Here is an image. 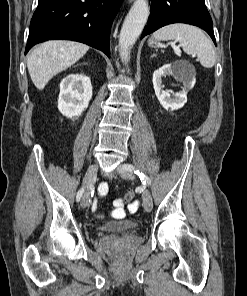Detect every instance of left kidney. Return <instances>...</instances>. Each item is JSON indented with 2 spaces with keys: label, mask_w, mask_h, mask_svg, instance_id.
I'll use <instances>...</instances> for the list:
<instances>
[{
  "label": "left kidney",
  "mask_w": 247,
  "mask_h": 296,
  "mask_svg": "<svg viewBox=\"0 0 247 296\" xmlns=\"http://www.w3.org/2000/svg\"><path fill=\"white\" fill-rule=\"evenodd\" d=\"M166 75L173 76L177 81L182 82L183 90L171 97L170 93L162 89V77ZM196 83L193 68L184 61H178L172 64L163 65L153 74V87L155 94L166 110H178L187 102V93Z\"/></svg>",
  "instance_id": "1"
}]
</instances>
